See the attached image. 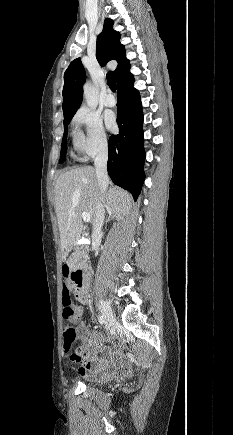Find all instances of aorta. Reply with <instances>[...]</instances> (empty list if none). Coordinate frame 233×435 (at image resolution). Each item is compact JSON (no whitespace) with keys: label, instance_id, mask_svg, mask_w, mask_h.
<instances>
[{"label":"aorta","instance_id":"1","mask_svg":"<svg viewBox=\"0 0 233 435\" xmlns=\"http://www.w3.org/2000/svg\"><path fill=\"white\" fill-rule=\"evenodd\" d=\"M83 94L87 106L95 109L98 105V89L90 82H87L83 87Z\"/></svg>","mask_w":233,"mask_h":435}]
</instances>
